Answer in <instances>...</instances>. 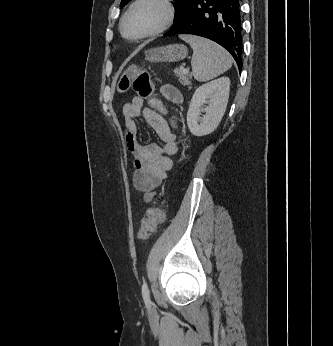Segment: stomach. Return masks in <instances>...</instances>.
I'll return each instance as SVG.
<instances>
[{
    "label": "stomach",
    "instance_id": "1",
    "mask_svg": "<svg viewBox=\"0 0 333 346\" xmlns=\"http://www.w3.org/2000/svg\"><path fill=\"white\" fill-rule=\"evenodd\" d=\"M187 54L186 46L174 44L147 51L145 59L150 62H176L184 59Z\"/></svg>",
    "mask_w": 333,
    "mask_h": 346
}]
</instances>
